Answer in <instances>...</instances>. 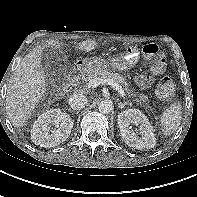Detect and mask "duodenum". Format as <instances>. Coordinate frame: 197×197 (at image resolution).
Masks as SVG:
<instances>
[{
  "label": "duodenum",
  "mask_w": 197,
  "mask_h": 197,
  "mask_svg": "<svg viewBox=\"0 0 197 197\" xmlns=\"http://www.w3.org/2000/svg\"><path fill=\"white\" fill-rule=\"evenodd\" d=\"M83 72V67L77 65L70 73L69 75V80H68V84L70 86L75 85L79 82L80 80V76Z\"/></svg>",
  "instance_id": "1"
}]
</instances>
